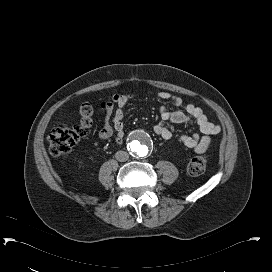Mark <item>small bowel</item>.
<instances>
[{
	"instance_id": "1",
	"label": "small bowel",
	"mask_w": 272,
	"mask_h": 272,
	"mask_svg": "<svg viewBox=\"0 0 272 272\" xmlns=\"http://www.w3.org/2000/svg\"><path fill=\"white\" fill-rule=\"evenodd\" d=\"M132 97L133 95L131 94H115L112 96L111 101L108 103L107 116L111 114L113 106H116V110L111 118L112 127L107 122L100 131V137L102 139H108L112 134H114L116 143L120 144L124 141L123 108ZM158 98L161 100H172L175 107H179L182 103L178 96L169 92H160L158 94ZM186 112L188 114L177 110H170L167 107L162 106L160 108L162 120L154 127V132L162 139L170 140L173 137V134L169 125L173 123L186 124L190 120L189 116H191L196 120L201 135H182L180 137V141L194 152L203 153L210 145V136L218 133L220 127L210 122L203 109L194 102L187 104Z\"/></svg>"
}]
</instances>
